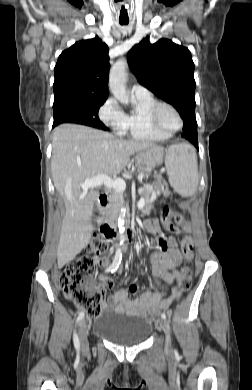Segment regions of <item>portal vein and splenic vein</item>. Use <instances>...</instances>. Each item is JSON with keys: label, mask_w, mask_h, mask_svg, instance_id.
Wrapping results in <instances>:
<instances>
[{"label": "portal vein and splenic vein", "mask_w": 252, "mask_h": 390, "mask_svg": "<svg viewBox=\"0 0 252 390\" xmlns=\"http://www.w3.org/2000/svg\"><path fill=\"white\" fill-rule=\"evenodd\" d=\"M101 185H105L107 188H113L116 192H123L126 188L125 181L121 178H117L113 180L107 175L99 174L91 179H86L84 183L81 185L82 189L87 190L89 188H95ZM138 192L141 194L143 192V188H140ZM145 202L144 199L141 198L137 203L138 208H142Z\"/></svg>", "instance_id": "portal-vein-and-splenic-vein-1"}]
</instances>
